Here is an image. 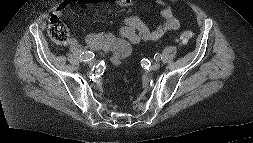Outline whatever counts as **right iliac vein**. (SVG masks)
Returning a JSON list of instances; mask_svg holds the SVG:
<instances>
[{
    "instance_id": "63e3f726",
    "label": "right iliac vein",
    "mask_w": 253,
    "mask_h": 143,
    "mask_svg": "<svg viewBox=\"0 0 253 143\" xmlns=\"http://www.w3.org/2000/svg\"><path fill=\"white\" fill-rule=\"evenodd\" d=\"M88 66L89 67H94L95 66V61L94 60L88 61Z\"/></svg>"
}]
</instances>
